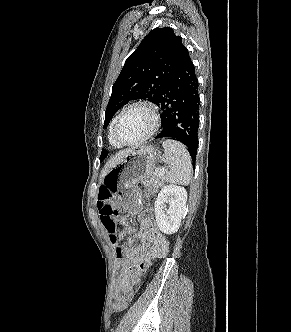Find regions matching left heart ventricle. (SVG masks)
<instances>
[{"mask_svg": "<svg viewBox=\"0 0 291 332\" xmlns=\"http://www.w3.org/2000/svg\"><path fill=\"white\" fill-rule=\"evenodd\" d=\"M152 126L150 113L142 107L127 110L119 120L117 133L124 141H134L149 132Z\"/></svg>", "mask_w": 291, "mask_h": 332, "instance_id": "left-heart-ventricle-1", "label": "left heart ventricle"}]
</instances>
